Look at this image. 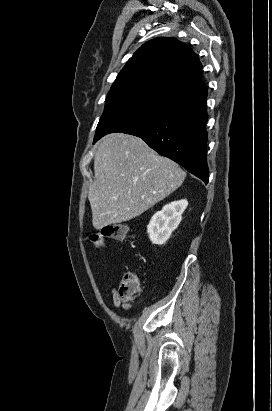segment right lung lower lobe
<instances>
[{
  "instance_id": "obj_1",
  "label": "right lung lower lobe",
  "mask_w": 272,
  "mask_h": 411,
  "mask_svg": "<svg viewBox=\"0 0 272 411\" xmlns=\"http://www.w3.org/2000/svg\"><path fill=\"white\" fill-rule=\"evenodd\" d=\"M206 121L205 97L125 133L142 138L159 154L179 163L207 184ZM101 137L94 138V141Z\"/></svg>"
}]
</instances>
